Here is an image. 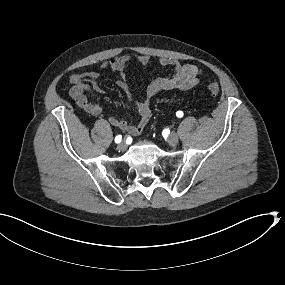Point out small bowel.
Returning a JSON list of instances; mask_svg holds the SVG:
<instances>
[{"label": "small bowel", "instance_id": "small-bowel-1", "mask_svg": "<svg viewBox=\"0 0 285 285\" xmlns=\"http://www.w3.org/2000/svg\"><path fill=\"white\" fill-rule=\"evenodd\" d=\"M133 61L145 67L149 64L150 58L148 55H139L133 59L129 55H122L110 61L103 62L101 67L122 74ZM159 64L172 67L174 73L169 77L153 79L147 87L145 97L141 100H134L124 77L118 80L117 83L119 87L125 91L127 99L134 101L139 114V121L137 124L130 125L125 120L112 116L109 118V122L112 126L132 136L141 134L151 119V100L155 95L165 90L187 91L196 86L199 82L201 71L193 64H181L178 60L173 58H161ZM97 77L98 73L92 71H85L70 76V83L72 84L69 92L70 96L79 107L92 115H98L101 112V107L97 103H90L87 99V95L92 96L94 92H104L97 81Z\"/></svg>", "mask_w": 285, "mask_h": 285}]
</instances>
